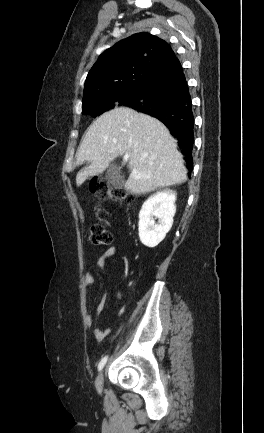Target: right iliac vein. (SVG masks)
I'll list each match as a JSON object with an SVG mask.
<instances>
[{"mask_svg": "<svg viewBox=\"0 0 264 433\" xmlns=\"http://www.w3.org/2000/svg\"><path fill=\"white\" fill-rule=\"evenodd\" d=\"M103 384H104V375L103 372H100L95 381V387L98 393L102 392Z\"/></svg>", "mask_w": 264, "mask_h": 433, "instance_id": "obj_1", "label": "right iliac vein"}]
</instances>
